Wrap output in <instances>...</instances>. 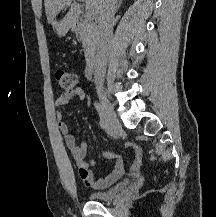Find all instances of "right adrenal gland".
<instances>
[{
	"mask_svg": "<svg viewBox=\"0 0 216 217\" xmlns=\"http://www.w3.org/2000/svg\"><path fill=\"white\" fill-rule=\"evenodd\" d=\"M121 3H122V0H118V4H117V10L120 8V6H121Z\"/></svg>",
	"mask_w": 216,
	"mask_h": 217,
	"instance_id": "obj_1",
	"label": "right adrenal gland"
}]
</instances>
